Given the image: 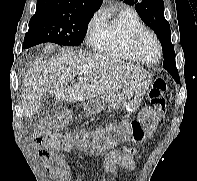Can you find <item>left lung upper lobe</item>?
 Returning <instances> with one entry per match:
<instances>
[{"label":"left lung upper lobe","instance_id":"left-lung-upper-lobe-1","mask_svg":"<svg viewBox=\"0 0 197 181\" xmlns=\"http://www.w3.org/2000/svg\"><path fill=\"white\" fill-rule=\"evenodd\" d=\"M124 2L135 6L144 23L154 30L163 49V67L178 82L179 75L175 63L174 47L171 43V30L169 22L164 17L163 0H124Z\"/></svg>","mask_w":197,"mask_h":181}]
</instances>
